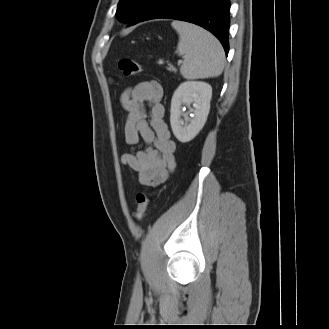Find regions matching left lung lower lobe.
Returning a JSON list of instances; mask_svg holds the SVG:
<instances>
[{
	"label": "left lung lower lobe",
	"mask_w": 329,
	"mask_h": 329,
	"mask_svg": "<svg viewBox=\"0 0 329 329\" xmlns=\"http://www.w3.org/2000/svg\"><path fill=\"white\" fill-rule=\"evenodd\" d=\"M229 10V0H153L131 25L158 18L190 22L215 35L228 54Z\"/></svg>",
	"instance_id": "left-lung-lower-lobe-1"
}]
</instances>
